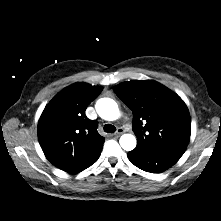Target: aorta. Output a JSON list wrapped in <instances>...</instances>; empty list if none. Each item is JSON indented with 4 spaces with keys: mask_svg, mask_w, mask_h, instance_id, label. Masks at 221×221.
<instances>
[{
    "mask_svg": "<svg viewBox=\"0 0 221 221\" xmlns=\"http://www.w3.org/2000/svg\"><path fill=\"white\" fill-rule=\"evenodd\" d=\"M98 115L107 121H114L119 118L120 111L117 103L111 98H101L95 105ZM119 143L126 151H131L136 147L137 141L132 134H123L120 137Z\"/></svg>",
    "mask_w": 221,
    "mask_h": 221,
    "instance_id": "762f6f07",
    "label": "aorta"
}]
</instances>
